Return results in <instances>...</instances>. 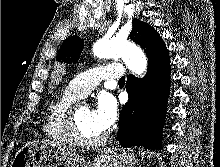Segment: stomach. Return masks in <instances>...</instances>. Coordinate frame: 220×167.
<instances>
[{
	"label": "stomach",
	"mask_w": 220,
	"mask_h": 167,
	"mask_svg": "<svg viewBox=\"0 0 220 167\" xmlns=\"http://www.w3.org/2000/svg\"><path fill=\"white\" fill-rule=\"evenodd\" d=\"M134 160L129 150L108 149L90 163L73 151L65 152L56 146L32 142L17 151L11 167H125Z\"/></svg>",
	"instance_id": "obj_1"
}]
</instances>
